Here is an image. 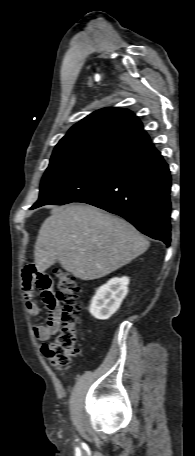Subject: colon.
<instances>
[{"instance_id":"5ec220e1","label":"colon","mask_w":195,"mask_h":456,"mask_svg":"<svg viewBox=\"0 0 195 456\" xmlns=\"http://www.w3.org/2000/svg\"><path fill=\"white\" fill-rule=\"evenodd\" d=\"M56 278V301L61 326L56 337L52 341L45 342L41 350L53 366L61 368L67 366L78 352L81 303L76 277L66 271L56 270Z\"/></svg>"}]
</instances>
